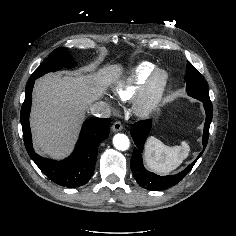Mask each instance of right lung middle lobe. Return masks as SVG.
Listing matches in <instances>:
<instances>
[{
	"mask_svg": "<svg viewBox=\"0 0 236 236\" xmlns=\"http://www.w3.org/2000/svg\"><path fill=\"white\" fill-rule=\"evenodd\" d=\"M75 64L66 48L55 49L34 71L29 80H35L45 73L57 71L63 66L70 67Z\"/></svg>",
	"mask_w": 236,
	"mask_h": 236,
	"instance_id": "dd1d6c3e",
	"label": "right lung middle lobe"
}]
</instances>
